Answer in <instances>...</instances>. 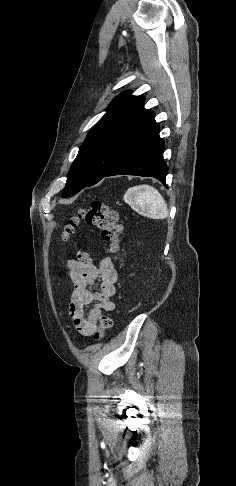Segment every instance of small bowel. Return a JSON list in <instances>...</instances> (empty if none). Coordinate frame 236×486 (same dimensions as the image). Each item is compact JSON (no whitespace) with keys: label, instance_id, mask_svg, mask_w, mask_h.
<instances>
[{"label":"small bowel","instance_id":"obj_1","mask_svg":"<svg viewBox=\"0 0 236 486\" xmlns=\"http://www.w3.org/2000/svg\"><path fill=\"white\" fill-rule=\"evenodd\" d=\"M69 276L74 290L69 305V316L74 328L83 336H91L97 329L98 319L104 312H112L116 305L112 301L115 294L117 270L108 257L94 260L88 255H79L77 260L68 263ZM100 282L97 292L91 287ZM92 305L89 311L85 307Z\"/></svg>","mask_w":236,"mask_h":486}]
</instances>
